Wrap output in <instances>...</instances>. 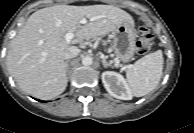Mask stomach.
Masks as SVG:
<instances>
[{"label":"stomach","instance_id":"obj_1","mask_svg":"<svg viewBox=\"0 0 194 133\" xmlns=\"http://www.w3.org/2000/svg\"><path fill=\"white\" fill-rule=\"evenodd\" d=\"M112 50L118 61L129 62L136 51V31L134 24L124 22L112 31Z\"/></svg>","mask_w":194,"mask_h":133}]
</instances>
